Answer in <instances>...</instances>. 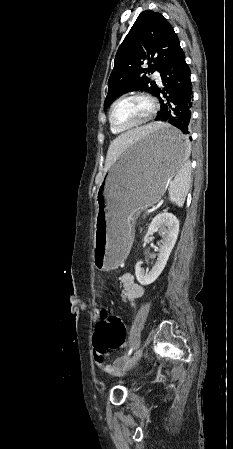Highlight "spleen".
<instances>
[{"label": "spleen", "mask_w": 233, "mask_h": 449, "mask_svg": "<svg viewBox=\"0 0 233 449\" xmlns=\"http://www.w3.org/2000/svg\"><path fill=\"white\" fill-rule=\"evenodd\" d=\"M188 154L190 152V144H187ZM191 182V167L189 162L186 160L180 168L177 170V174L174 180L169 186V198L170 201L176 204L178 207H182L187 193L190 188Z\"/></svg>", "instance_id": "1"}]
</instances>
